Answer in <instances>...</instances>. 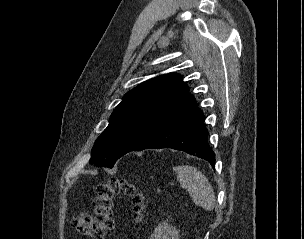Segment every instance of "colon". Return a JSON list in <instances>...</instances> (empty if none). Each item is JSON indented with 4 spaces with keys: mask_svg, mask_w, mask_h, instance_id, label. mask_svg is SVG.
<instances>
[{
    "mask_svg": "<svg viewBox=\"0 0 304 239\" xmlns=\"http://www.w3.org/2000/svg\"><path fill=\"white\" fill-rule=\"evenodd\" d=\"M124 193L133 204L134 220L137 226L143 221L147 209V197L128 179L112 178L96 187L93 200L94 216L86 212L75 214L71 218L77 232L90 239H105L113 228V203L117 195Z\"/></svg>",
    "mask_w": 304,
    "mask_h": 239,
    "instance_id": "5ec220e1",
    "label": "colon"
}]
</instances>
